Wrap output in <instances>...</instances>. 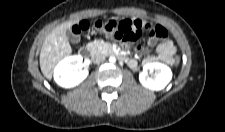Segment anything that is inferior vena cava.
<instances>
[{
  "mask_svg": "<svg viewBox=\"0 0 225 132\" xmlns=\"http://www.w3.org/2000/svg\"><path fill=\"white\" fill-rule=\"evenodd\" d=\"M105 59V57L103 56H96L93 57L94 62L99 63L100 61H103Z\"/></svg>",
  "mask_w": 225,
  "mask_h": 132,
  "instance_id": "inferior-vena-cava-1",
  "label": "inferior vena cava"
}]
</instances>
